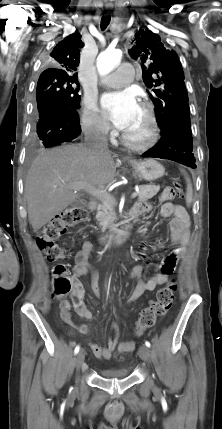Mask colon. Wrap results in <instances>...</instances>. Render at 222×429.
Here are the masks:
<instances>
[{
	"label": "colon",
	"instance_id": "colon-1",
	"mask_svg": "<svg viewBox=\"0 0 222 429\" xmlns=\"http://www.w3.org/2000/svg\"><path fill=\"white\" fill-rule=\"evenodd\" d=\"M176 196L184 197V193L178 182H174L171 187H166L161 197L165 201H170ZM86 217L87 212L82 207L67 208L44 226L37 238V244L49 260L56 261L67 257V251L58 243V240L67 228L77 226ZM52 288L53 296L61 302H64L72 292L78 290L72 275L63 265H57L53 268ZM176 289V282L170 280L158 291L156 299L150 301L149 305L140 312L134 328L136 336H140L148 328L152 327L157 319L171 308Z\"/></svg>",
	"mask_w": 222,
	"mask_h": 429
}]
</instances>
